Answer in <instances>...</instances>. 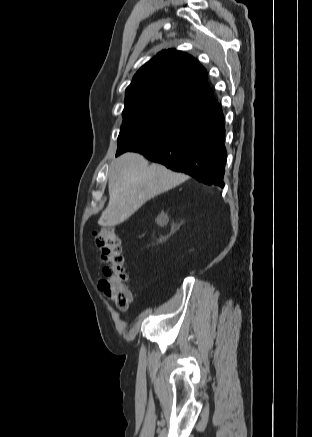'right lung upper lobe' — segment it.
Segmentation results:
<instances>
[{"label":"right lung upper lobe","mask_w":312,"mask_h":437,"mask_svg":"<svg viewBox=\"0 0 312 437\" xmlns=\"http://www.w3.org/2000/svg\"><path fill=\"white\" fill-rule=\"evenodd\" d=\"M150 103L199 113L217 101L198 61L181 51L164 50L140 68L126 89L125 108Z\"/></svg>","instance_id":"right-lung-upper-lobe-1"}]
</instances>
